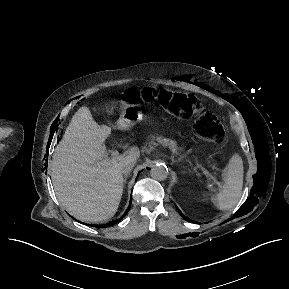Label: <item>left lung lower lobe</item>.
Here are the masks:
<instances>
[{
  "instance_id": "left-lung-lower-lobe-1",
  "label": "left lung lower lobe",
  "mask_w": 289,
  "mask_h": 289,
  "mask_svg": "<svg viewBox=\"0 0 289 289\" xmlns=\"http://www.w3.org/2000/svg\"><path fill=\"white\" fill-rule=\"evenodd\" d=\"M178 209V208H177ZM178 211H179V213L181 214V216L185 219V220H187L186 219V217L183 215V213L178 209Z\"/></svg>"
}]
</instances>
